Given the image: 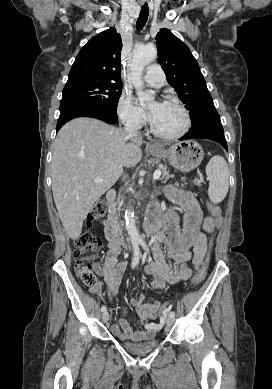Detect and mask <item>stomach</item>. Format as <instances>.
I'll return each instance as SVG.
<instances>
[{
    "label": "stomach",
    "instance_id": "stomach-1",
    "mask_svg": "<svg viewBox=\"0 0 272 389\" xmlns=\"http://www.w3.org/2000/svg\"><path fill=\"white\" fill-rule=\"evenodd\" d=\"M150 153L161 159H166L170 165L181 172H190L201 163L204 151L195 141H181L165 148L163 145L151 148Z\"/></svg>",
    "mask_w": 272,
    "mask_h": 389
}]
</instances>
